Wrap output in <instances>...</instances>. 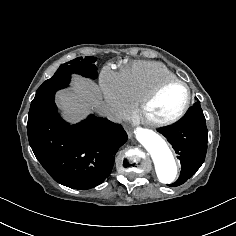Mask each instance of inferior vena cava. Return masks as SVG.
Here are the masks:
<instances>
[{
	"label": "inferior vena cava",
	"instance_id": "602c4592",
	"mask_svg": "<svg viewBox=\"0 0 236 236\" xmlns=\"http://www.w3.org/2000/svg\"><path fill=\"white\" fill-rule=\"evenodd\" d=\"M98 108L95 106L96 111L104 117H107L110 120H114V112L111 108L105 107L102 105H97Z\"/></svg>",
	"mask_w": 236,
	"mask_h": 236
}]
</instances>
